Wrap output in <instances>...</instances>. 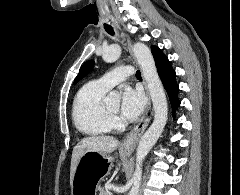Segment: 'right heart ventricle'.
<instances>
[{
	"label": "right heart ventricle",
	"mask_w": 240,
	"mask_h": 195,
	"mask_svg": "<svg viewBox=\"0 0 240 195\" xmlns=\"http://www.w3.org/2000/svg\"><path fill=\"white\" fill-rule=\"evenodd\" d=\"M109 89L103 83H87L77 94L73 105V120L79 131L97 137L110 132L111 123L105 110Z\"/></svg>",
	"instance_id": "e07e8e85"
}]
</instances>
